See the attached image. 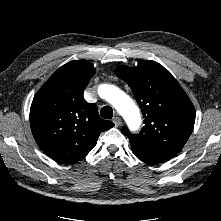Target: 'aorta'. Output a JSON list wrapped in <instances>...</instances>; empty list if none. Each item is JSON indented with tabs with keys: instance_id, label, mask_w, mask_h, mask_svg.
Wrapping results in <instances>:
<instances>
[{
	"instance_id": "obj_1",
	"label": "aorta",
	"mask_w": 221,
	"mask_h": 221,
	"mask_svg": "<svg viewBox=\"0 0 221 221\" xmlns=\"http://www.w3.org/2000/svg\"><path fill=\"white\" fill-rule=\"evenodd\" d=\"M98 93L115 107L131 131H136L140 127L141 116L139 109L128 95L111 84L100 85Z\"/></svg>"
}]
</instances>
